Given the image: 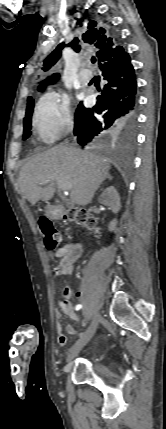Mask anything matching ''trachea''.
<instances>
[{"mask_svg": "<svg viewBox=\"0 0 166 429\" xmlns=\"http://www.w3.org/2000/svg\"><path fill=\"white\" fill-rule=\"evenodd\" d=\"M91 62H92V63H95V62H96V58H95V57H92V58H91Z\"/></svg>", "mask_w": 166, "mask_h": 429, "instance_id": "obj_1", "label": "trachea"}]
</instances>
